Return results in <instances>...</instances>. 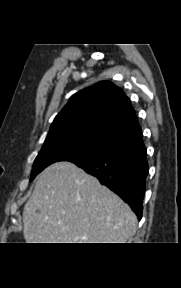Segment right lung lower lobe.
Instances as JSON below:
<instances>
[{
  "mask_svg": "<svg viewBox=\"0 0 181 288\" xmlns=\"http://www.w3.org/2000/svg\"><path fill=\"white\" fill-rule=\"evenodd\" d=\"M144 144L70 162L95 176L119 195L142 218L148 162Z\"/></svg>",
  "mask_w": 181,
  "mask_h": 288,
  "instance_id": "1",
  "label": "right lung lower lobe"
}]
</instances>
